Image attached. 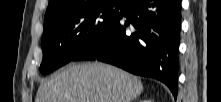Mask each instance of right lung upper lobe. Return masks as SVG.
<instances>
[{
    "label": "right lung upper lobe",
    "instance_id": "1",
    "mask_svg": "<svg viewBox=\"0 0 221 102\" xmlns=\"http://www.w3.org/2000/svg\"><path fill=\"white\" fill-rule=\"evenodd\" d=\"M74 1H80V0H49V5L45 13L44 21L52 18L61 10L68 7Z\"/></svg>",
    "mask_w": 221,
    "mask_h": 102
}]
</instances>
